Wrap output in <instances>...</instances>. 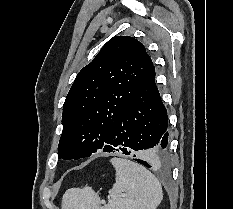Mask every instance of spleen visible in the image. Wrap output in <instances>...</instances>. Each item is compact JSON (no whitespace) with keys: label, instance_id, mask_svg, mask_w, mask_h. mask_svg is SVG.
<instances>
[{"label":"spleen","instance_id":"3e777b00","mask_svg":"<svg viewBox=\"0 0 233 209\" xmlns=\"http://www.w3.org/2000/svg\"><path fill=\"white\" fill-rule=\"evenodd\" d=\"M116 170L115 184L109 190V201L101 205L91 187L68 189L62 198V209H156L163 198L158 179L142 165L123 158H112Z\"/></svg>","mask_w":233,"mask_h":209}]
</instances>
